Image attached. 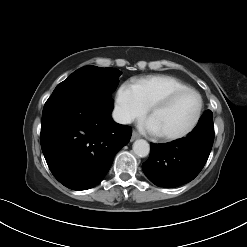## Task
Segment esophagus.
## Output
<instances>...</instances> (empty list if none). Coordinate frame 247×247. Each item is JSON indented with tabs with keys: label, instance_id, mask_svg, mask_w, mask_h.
<instances>
[{
	"label": "esophagus",
	"instance_id": "esophagus-1",
	"mask_svg": "<svg viewBox=\"0 0 247 247\" xmlns=\"http://www.w3.org/2000/svg\"><path fill=\"white\" fill-rule=\"evenodd\" d=\"M138 138H140V135L136 131H133L131 140L134 141Z\"/></svg>",
	"mask_w": 247,
	"mask_h": 247
}]
</instances>
